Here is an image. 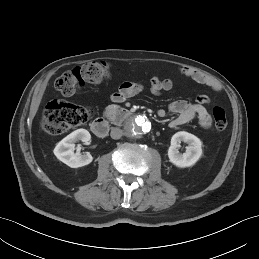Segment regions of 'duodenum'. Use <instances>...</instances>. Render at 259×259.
Listing matches in <instances>:
<instances>
[{"instance_id":"1","label":"duodenum","mask_w":259,"mask_h":259,"mask_svg":"<svg viewBox=\"0 0 259 259\" xmlns=\"http://www.w3.org/2000/svg\"><path fill=\"white\" fill-rule=\"evenodd\" d=\"M111 119H118L119 117H129L131 112L129 110L112 106L109 108ZM92 132L98 137H105L109 131V123L104 118H97L91 123Z\"/></svg>"}]
</instances>
